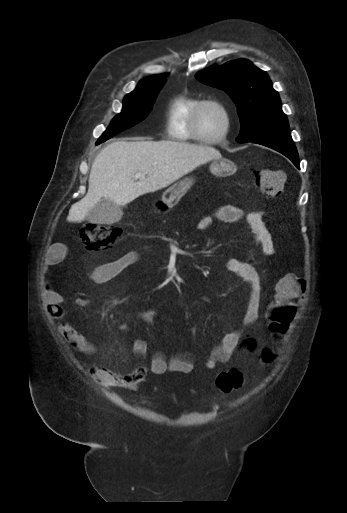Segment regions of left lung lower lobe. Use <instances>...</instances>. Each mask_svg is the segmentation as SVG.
Here are the masks:
<instances>
[{
    "label": "left lung lower lobe",
    "mask_w": 347,
    "mask_h": 513,
    "mask_svg": "<svg viewBox=\"0 0 347 513\" xmlns=\"http://www.w3.org/2000/svg\"><path fill=\"white\" fill-rule=\"evenodd\" d=\"M251 142L267 146L282 153L288 157L298 169H300L298 153L289 132L271 134L259 139H255Z\"/></svg>",
    "instance_id": "0a47b994"
}]
</instances>
